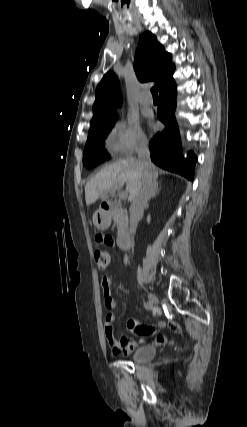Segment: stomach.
<instances>
[{
    "mask_svg": "<svg viewBox=\"0 0 247 427\" xmlns=\"http://www.w3.org/2000/svg\"><path fill=\"white\" fill-rule=\"evenodd\" d=\"M93 224L99 230L107 229L111 224L110 213L106 210L99 209L93 215Z\"/></svg>",
    "mask_w": 247,
    "mask_h": 427,
    "instance_id": "0dacf381",
    "label": "stomach"
}]
</instances>
